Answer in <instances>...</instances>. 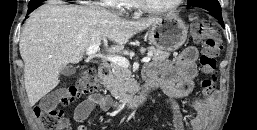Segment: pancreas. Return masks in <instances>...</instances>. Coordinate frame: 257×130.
<instances>
[{"label": "pancreas", "mask_w": 257, "mask_h": 130, "mask_svg": "<svg viewBox=\"0 0 257 130\" xmlns=\"http://www.w3.org/2000/svg\"><path fill=\"white\" fill-rule=\"evenodd\" d=\"M144 50V48L140 49V51ZM147 50L152 53L151 57L153 62L166 60L170 56L168 51L153 46L147 47ZM111 67L112 70L104 81L105 86L113 97L119 101H123L135 91L136 83L134 82L130 69L114 63H112Z\"/></svg>", "instance_id": "1"}]
</instances>
